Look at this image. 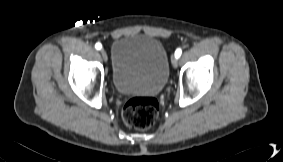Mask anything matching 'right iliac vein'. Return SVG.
I'll return each mask as SVG.
<instances>
[{"instance_id":"63e3f726","label":"right iliac vein","mask_w":283,"mask_h":162,"mask_svg":"<svg viewBox=\"0 0 283 162\" xmlns=\"http://www.w3.org/2000/svg\"><path fill=\"white\" fill-rule=\"evenodd\" d=\"M100 53H101V55H102L104 61H107V58H108V57H107L106 51H105L104 49H102V50L100 51Z\"/></svg>"}]
</instances>
